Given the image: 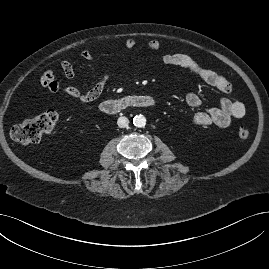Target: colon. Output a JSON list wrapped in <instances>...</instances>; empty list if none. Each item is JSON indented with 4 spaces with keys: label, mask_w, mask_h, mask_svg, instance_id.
<instances>
[{
    "label": "colon",
    "mask_w": 269,
    "mask_h": 269,
    "mask_svg": "<svg viewBox=\"0 0 269 269\" xmlns=\"http://www.w3.org/2000/svg\"><path fill=\"white\" fill-rule=\"evenodd\" d=\"M59 115L56 110L49 109L34 118L28 119L15 125L11 130L12 138L23 146L37 143L45 135L54 131L57 126ZM249 131L240 128L237 137L244 141L249 138Z\"/></svg>",
    "instance_id": "1"
}]
</instances>
